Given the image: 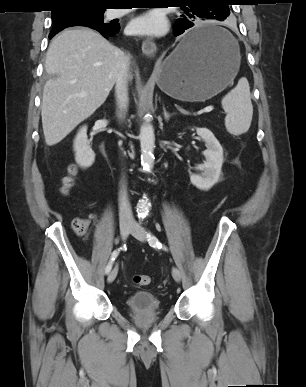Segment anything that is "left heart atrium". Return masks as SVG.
<instances>
[{"label":"left heart atrium","instance_id":"1","mask_svg":"<svg viewBox=\"0 0 306 387\" xmlns=\"http://www.w3.org/2000/svg\"><path fill=\"white\" fill-rule=\"evenodd\" d=\"M128 28L133 34L161 35L166 31L167 25L162 15L149 12L134 18Z\"/></svg>","mask_w":306,"mask_h":387}]
</instances>
